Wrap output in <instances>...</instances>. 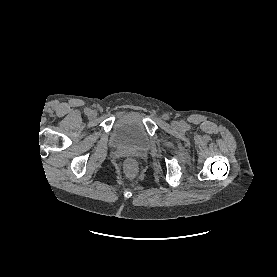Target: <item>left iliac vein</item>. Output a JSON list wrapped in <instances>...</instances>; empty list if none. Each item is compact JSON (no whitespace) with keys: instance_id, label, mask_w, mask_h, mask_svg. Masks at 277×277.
<instances>
[{"instance_id":"1","label":"left iliac vein","mask_w":277,"mask_h":277,"mask_svg":"<svg viewBox=\"0 0 277 277\" xmlns=\"http://www.w3.org/2000/svg\"><path fill=\"white\" fill-rule=\"evenodd\" d=\"M172 125H173V127H175V128H178V127L180 126L179 122H177V121H174V122L172 123Z\"/></svg>"}]
</instances>
